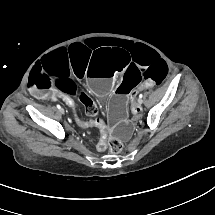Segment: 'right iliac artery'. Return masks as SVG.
Wrapping results in <instances>:
<instances>
[{"mask_svg":"<svg viewBox=\"0 0 215 215\" xmlns=\"http://www.w3.org/2000/svg\"><path fill=\"white\" fill-rule=\"evenodd\" d=\"M57 108H58V109H61L60 105H57Z\"/></svg>","mask_w":215,"mask_h":215,"instance_id":"right-iliac-artery-1","label":"right iliac artery"}]
</instances>
